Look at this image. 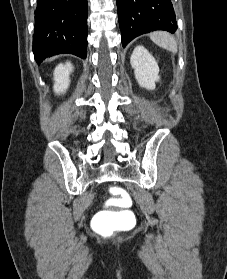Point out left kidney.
I'll use <instances>...</instances> for the list:
<instances>
[{
	"instance_id": "left-kidney-1",
	"label": "left kidney",
	"mask_w": 227,
	"mask_h": 279,
	"mask_svg": "<svg viewBox=\"0 0 227 279\" xmlns=\"http://www.w3.org/2000/svg\"><path fill=\"white\" fill-rule=\"evenodd\" d=\"M130 63L134 69L138 84L148 90L155 89V82L159 80V67L154 57L143 46L133 50Z\"/></svg>"
}]
</instances>
